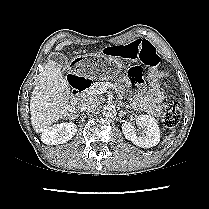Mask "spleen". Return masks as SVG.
Segmentation results:
<instances>
[{"label": "spleen", "instance_id": "3e777b00", "mask_svg": "<svg viewBox=\"0 0 209 209\" xmlns=\"http://www.w3.org/2000/svg\"><path fill=\"white\" fill-rule=\"evenodd\" d=\"M174 136V133H170L168 136L165 137L164 142L169 141Z\"/></svg>", "mask_w": 209, "mask_h": 209}]
</instances>
